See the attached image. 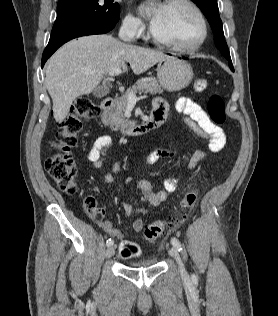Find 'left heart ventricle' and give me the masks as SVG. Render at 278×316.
Wrapping results in <instances>:
<instances>
[{"mask_svg":"<svg viewBox=\"0 0 278 316\" xmlns=\"http://www.w3.org/2000/svg\"><path fill=\"white\" fill-rule=\"evenodd\" d=\"M155 14L152 28L160 39L181 46L192 45L198 40L200 23L188 6L164 4Z\"/></svg>","mask_w":278,"mask_h":316,"instance_id":"left-heart-ventricle-1","label":"left heart ventricle"}]
</instances>
